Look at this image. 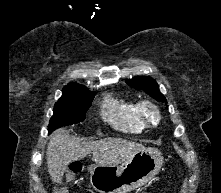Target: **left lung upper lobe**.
<instances>
[{
	"instance_id": "5c2ea615",
	"label": "left lung upper lobe",
	"mask_w": 221,
	"mask_h": 193,
	"mask_svg": "<svg viewBox=\"0 0 221 193\" xmlns=\"http://www.w3.org/2000/svg\"><path fill=\"white\" fill-rule=\"evenodd\" d=\"M126 83L133 88L145 91L157 101H166L163 94L159 91L158 84L150 77H137L131 80H126Z\"/></svg>"
}]
</instances>
